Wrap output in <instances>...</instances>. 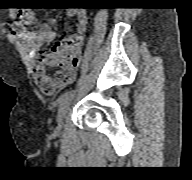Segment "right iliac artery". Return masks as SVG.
Returning a JSON list of instances; mask_svg holds the SVG:
<instances>
[{
	"label": "right iliac artery",
	"instance_id": "82829eb1",
	"mask_svg": "<svg viewBox=\"0 0 192 180\" xmlns=\"http://www.w3.org/2000/svg\"><path fill=\"white\" fill-rule=\"evenodd\" d=\"M74 92H75L74 90H71V91H66L63 94H61V96L58 98L59 105L61 106L65 102L70 100L73 97Z\"/></svg>",
	"mask_w": 192,
	"mask_h": 180
}]
</instances>
